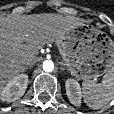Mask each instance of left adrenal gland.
<instances>
[{"mask_svg": "<svg viewBox=\"0 0 114 114\" xmlns=\"http://www.w3.org/2000/svg\"><path fill=\"white\" fill-rule=\"evenodd\" d=\"M60 70H61V71H64V70H65L64 63H63V62H61Z\"/></svg>", "mask_w": 114, "mask_h": 114, "instance_id": "obj_1", "label": "left adrenal gland"}]
</instances>
